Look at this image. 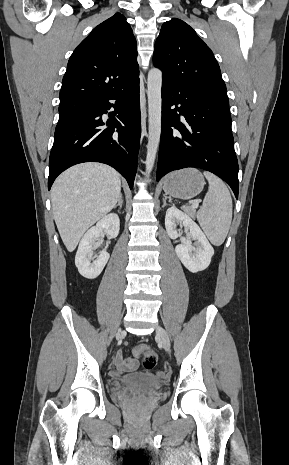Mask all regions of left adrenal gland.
<instances>
[{
  "mask_svg": "<svg viewBox=\"0 0 289 465\" xmlns=\"http://www.w3.org/2000/svg\"><path fill=\"white\" fill-rule=\"evenodd\" d=\"M166 198H167V197H166V196H164V198H163V205H162V207H165V206L167 205V203H166Z\"/></svg>",
  "mask_w": 289,
  "mask_h": 465,
  "instance_id": "a2214340",
  "label": "left adrenal gland"
}]
</instances>
